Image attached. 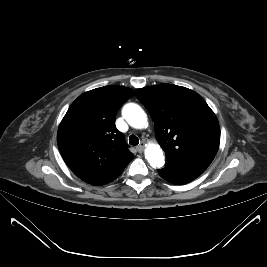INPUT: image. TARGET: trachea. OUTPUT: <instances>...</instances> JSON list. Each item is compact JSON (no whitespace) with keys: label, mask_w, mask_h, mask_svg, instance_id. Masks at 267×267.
Returning <instances> with one entry per match:
<instances>
[{"label":"trachea","mask_w":267,"mask_h":267,"mask_svg":"<svg viewBox=\"0 0 267 267\" xmlns=\"http://www.w3.org/2000/svg\"><path fill=\"white\" fill-rule=\"evenodd\" d=\"M129 144H130V145H133V146L138 145V144H139V139H138V137H136L135 135H131V136L129 137Z\"/></svg>","instance_id":"3493384b"}]
</instances>
